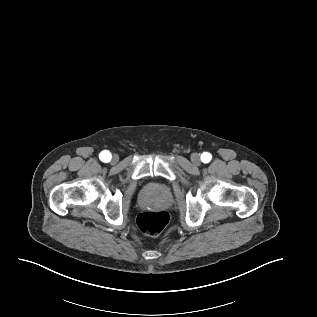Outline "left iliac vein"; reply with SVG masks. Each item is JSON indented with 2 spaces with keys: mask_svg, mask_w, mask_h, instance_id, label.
Segmentation results:
<instances>
[{
  "mask_svg": "<svg viewBox=\"0 0 317 317\" xmlns=\"http://www.w3.org/2000/svg\"><path fill=\"white\" fill-rule=\"evenodd\" d=\"M191 161H192V163L194 164V165H196V166H198V165H200V156H199V154H197V153H193L192 155H191Z\"/></svg>",
  "mask_w": 317,
  "mask_h": 317,
  "instance_id": "1",
  "label": "left iliac vein"
}]
</instances>
